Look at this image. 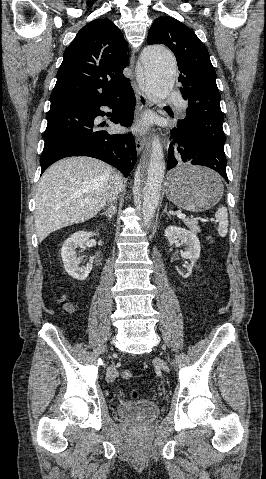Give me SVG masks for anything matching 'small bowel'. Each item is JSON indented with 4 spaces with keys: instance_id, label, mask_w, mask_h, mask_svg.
Listing matches in <instances>:
<instances>
[{
    "instance_id": "obj_1",
    "label": "small bowel",
    "mask_w": 266,
    "mask_h": 479,
    "mask_svg": "<svg viewBox=\"0 0 266 479\" xmlns=\"http://www.w3.org/2000/svg\"><path fill=\"white\" fill-rule=\"evenodd\" d=\"M64 308H65L66 311H69V312H72L74 310V306L71 303H66L64 305Z\"/></svg>"
}]
</instances>
